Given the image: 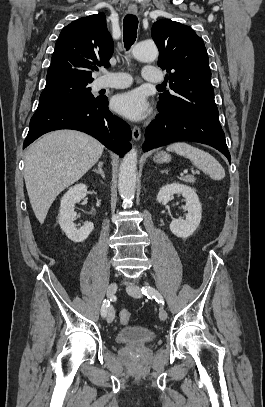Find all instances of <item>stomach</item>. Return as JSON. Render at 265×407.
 <instances>
[{
  "label": "stomach",
  "instance_id": "1",
  "mask_svg": "<svg viewBox=\"0 0 265 407\" xmlns=\"http://www.w3.org/2000/svg\"><path fill=\"white\" fill-rule=\"evenodd\" d=\"M170 159H171L170 155L163 151L158 152L154 156V161L159 164L168 163Z\"/></svg>",
  "mask_w": 265,
  "mask_h": 407
}]
</instances>
